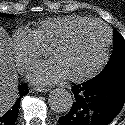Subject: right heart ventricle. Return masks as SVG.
Wrapping results in <instances>:
<instances>
[{"mask_svg":"<svg viewBox=\"0 0 125 125\" xmlns=\"http://www.w3.org/2000/svg\"><path fill=\"white\" fill-rule=\"evenodd\" d=\"M91 18L83 16H61L39 21L32 30L43 47L51 44L71 26Z\"/></svg>","mask_w":125,"mask_h":125,"instance_id":"obj_1","label":"right heart ventricle"}]
</instances>
